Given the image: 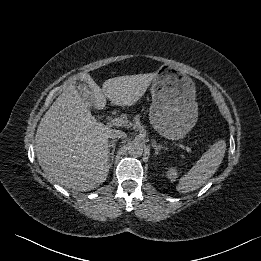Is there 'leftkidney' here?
Wrapping results in <instances>:
<instances>
[{
  "mask_svg": "<svg viewBox=\"0 0 261 261\" xmlns=\"http://www.w3.org/2000/svg\"><path fill=\"white\" fill-rule=\"evenodd\" d=\"M166 176L171 182L176 181L178 177L177 169L174 167L168 168V170L166 171Z\"/></svg>",
  "mask_w": 261,
  "mask_h": 261,
  "instance_id": "5707ae66",
  "label": "left kidney"
}]
</instances>
